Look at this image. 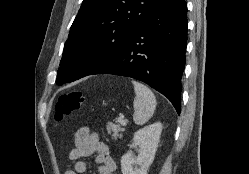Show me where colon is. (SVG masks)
<instances>
[{"instance_id":"5ec220e1","label":"colon","mask_w":249,"mask_h":174,"mask_svg":"<svg viewBox=\"0 0 249 174\" xmlns=\"http://www.w3.org/2000/svg\"><path fill=\"white\" fill-rule=\"evenodd\" d=\"M85 101V95L81 90H70L60 95L56 104L55 116L63 119L78 111Z\"/></svg>"}]
</instances>
